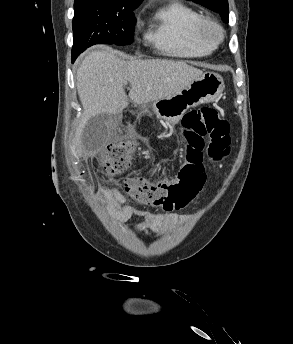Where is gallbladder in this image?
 <instances>
[{"mask_svg":"<svg viewBox=\"0 0 293 344\" xmlns=\"http://www.w3.org/2000/svg\"><path fill=\"white\" fill-rule=\"evenodd\" d=\"M110 124L111 116L107 113L95 115L87 121L81 135L84 151L92 153L105 144Z\"/></svg>","mask_w":293,"mask_h":344,"instance_id":"obj_1","label":"gallbladder"}]
</instances>
